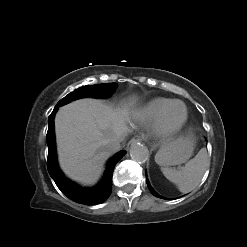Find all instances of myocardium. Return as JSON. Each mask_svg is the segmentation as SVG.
<instances>
[{"label":"myocardium","mask_w":247,"mask_h":247,"mask_svg":"<svg viewBox=\"0 0 247 247\" xmlns=\"http://www.w3.org/2000/svg\"><path fill=\"white\" fill-rule=\"evenodd\" d=\"M174 105H181L184 109V115L182 119L177 123H170L167 119L170 109ZM188 119V110L186 105L179 100H173L170 102L159 114L154 122L155 132L160 137H169L178 133L186 124Z\"/></svg>","instance_id":"1"}]
</instances>
